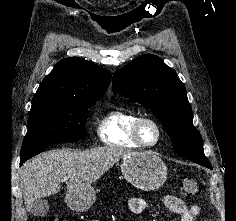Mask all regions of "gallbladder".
I'll list each match as a JSON object with an SVG mask.
<instances>
[{
  "label": "gallbladder",
  "mask_w": 236,
  "mask_h": 221,
  "mask_svg": "<svg viewBox=\"0 0 236 221\" xmlns=\"http://www.w3.org/2000/svg\"><path fill=\"white\" fill-rule=\"evenodd\" d=\"M48 210H49L48 201L44 198H39L33 202L31 213L34 216L42 217L48 213Z\"/></svg>",
  "instance_id": "1"
}]
</instances>
